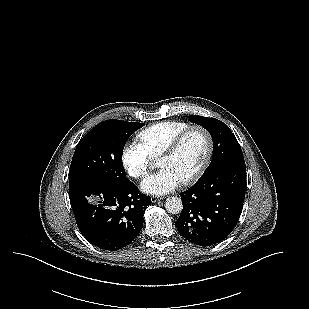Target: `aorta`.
Instances as JSON below:
<instances>
[{
	"mask_svg": "<svg viewBox=\"0 0 309 309\" xmlns=\"http://www.w3.org/2000/svg\"><path fill=\"white\" fill-rule=\"evenodd\" d=\"M165 208L171 214H178L183 209V203L178 197H169L166 199Z\"/></svg>",
	"mask_w": 309,
	"mask_h": 309,
	"instance_id": "1",
	"label": "aorta"
}]
</instances>
